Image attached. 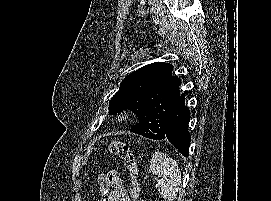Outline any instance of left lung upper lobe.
Returning a JSON list of instances; mask_svg holds the SVG:
<instances>
[{"label": "left lung upper lobe", "mask_w": 271, "mask_h": 201, "mask_svg": "<svg viewBox=\"0 0 271 201\" xmlns=\"http://www.w3.org/2000/svg\"><path fill=\"white\" fill-rule=\"evenodd\" d=\"M170 63L154 62L129 74L111 98L109 114L131 110L143 130L140 135L161 139L167 130L181 80L172 75Z\"/></svg>", "instance_id": "left-lung-upper-lobe-1"}]
</instances>
